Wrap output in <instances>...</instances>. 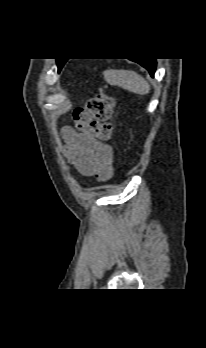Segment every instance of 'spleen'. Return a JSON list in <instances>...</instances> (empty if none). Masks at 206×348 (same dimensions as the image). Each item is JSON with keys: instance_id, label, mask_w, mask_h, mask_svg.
<instances>
[{"instance_id": "3e777b00", "label": "spleen", "mask_w": 206, "mask_h": 348, "mask_svg": "<svg viewBox=\"0 0 206 348\" xmlns=\"http://www.w3.org/2000/svg\"><path fill=\"white\" fill-rule=\"evenodd\" d=\"M104 79L113 86L121 87L138 95H146L150 91L148 82L138 73L131 70H107Z\"/></svg>"}]
</instances>
